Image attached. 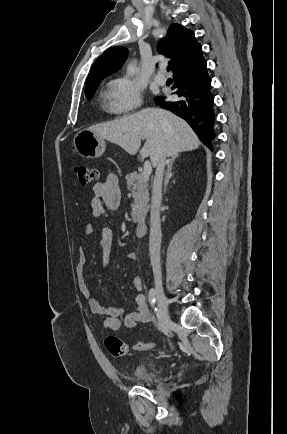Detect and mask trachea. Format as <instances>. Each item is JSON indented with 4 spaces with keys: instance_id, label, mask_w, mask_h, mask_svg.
<instances>
[{
    "instance_id": "obj_1",
    "label": "trachea",
    "mask_w": 287,
    "mask_h": 434,
    "mask_svg": "<svg viewBox=\"0 0 287 434\" xmlns=\"http://www.w3.org/2000/svg\"><path fill=\"white\" fill-rule=\"evenodd\" d=\"M171 70V68L170 67H167V71L169 72Z\"/></svg>"
}]
</instances>
